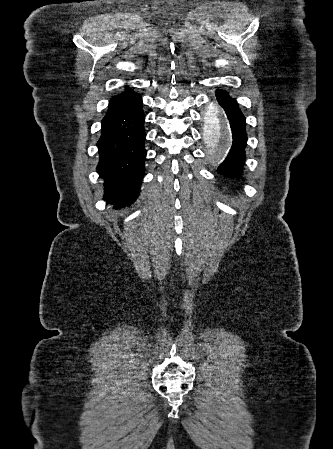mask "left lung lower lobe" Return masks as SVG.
Masks as SVG:
<instances>
[{
    "mask_svg": "<svg viewBox=\"0 0 333 449\" xmlns=\"http://www.w3.org/2000/svg\"><path fill=\"white\" fill-rule=\"evenodd\" d=\"M216 96L227 114L233 138L231 149L224 162L219 166L218 172L227 177L240 176L245 160L244 149L247 141L245 118L236 101L227 92L217 90Z\"/></svg>",
    "mask_w": 333,
    "mask_h": 449,
    "instance_id": "left-lung-lower-lobe-1",
    "label": "left lung lower lobe"
}]
</instances>
